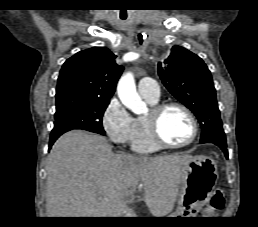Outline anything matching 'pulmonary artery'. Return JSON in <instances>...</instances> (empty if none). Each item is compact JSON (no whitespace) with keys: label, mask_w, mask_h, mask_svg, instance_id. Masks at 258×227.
I'll return each mask as SVG.
<instances>
[{"label":"pulmonary artery","mask_w":258,"mask_h":227,"mask_svg":"<svg viewBox=\"0 0 258 227\" xmlns=\"http://www.w3.org/2000/svg\"><path fill=\"white\" fill-rule=\"evenodd\" d=\"M140 95L152 101H157L160 97V89L157 82L152 78H143L138 83Z\"/></svg>","instance_id":"pulmonary-artery-1"}]
</instances>
